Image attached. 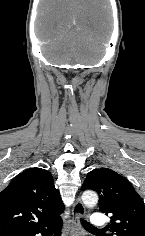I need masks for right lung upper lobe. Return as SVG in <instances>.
Masks as SVG:
<instances>
[{
    "label": "right lung upper lobe",
    "instance_id": "right-lung-upper-lobe-1",
    "mask_svg": "<svg viewBox=\"0 0 145 236\" xmlns=\"http://www.w3.org/2000/svg\"><path fill=\"white\" fill-rule=\"evenodd\" d=\"M63 210L50 172L25 170L0 192V236L40 229L59 219Z\"/></svg>",
    "mask_w": 145,
    "mask_h": 236
}]
</instances>
